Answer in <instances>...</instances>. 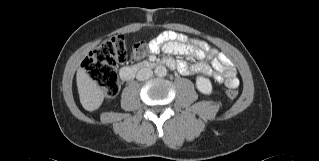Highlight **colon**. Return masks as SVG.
<instances>
[{
  "label": "colon",
  "mask_w": 319,
  "mask_h": 161,
  "mask_svg": "<svg viewBox=\"0 0 319 161\" xmlns=\"http://www.w3.org/2000/svg\"><path fill=\"white\" fill-rule=\"evenodd\" d=\"M149 45L138 41L133 45L132 58L134 61L143 59ZM127 57V45L122 36H113L105 40L99 47L88 55L84 67L90 79L102 90L106 98L115 96L119 91V81L116 73L117 63ZM238 94L234 84L227 86L226 95L235 98Z\"/></svg>",
  "instance_id": "colon-1"
}]
</instances>
